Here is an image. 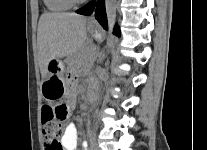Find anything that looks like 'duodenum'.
Listing matches in <instances>:
<instances>
[{"label": "duodenum", "mask_w": 207, "mask_h": 150, "mask_svg": "<svg viewBox=\"0 0 207 150\" xmlns=\"http://www.w3.org/2000/svg\"><path fill=\"white\" fill-rule=\"evenodd\" d=\"M97 86L95 82H92L90 85V93H91V98H93L95 92H96Z\"/></svg>", "instance_id": "1"}]
</instances>
